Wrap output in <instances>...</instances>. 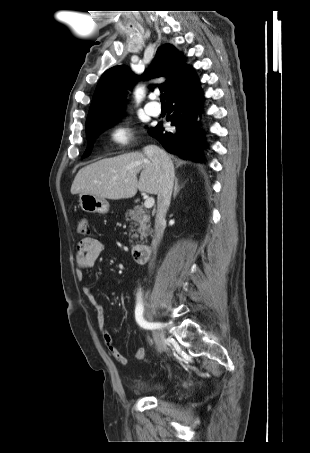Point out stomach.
Instances as JSON below:
<instances>
[{
    "label": "stomach",
    "mask_w": 310,
    "mask_h": 453,
    "mask_svg": "<svg viewBox=\"0 0 310 453\" xmlns=\"http://www.w3.org/2000/svg\"><path fill=\"white\" fill-rule=\"evenodd\" d=\"M79 205L87 213L106 214L109 211L108 201L92 194H80Z\"/></svg>",
    "instance_id": "1"
}]
</instances>
